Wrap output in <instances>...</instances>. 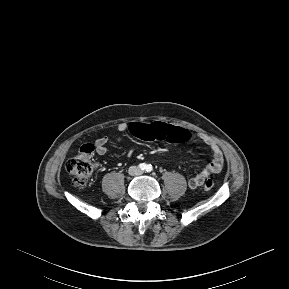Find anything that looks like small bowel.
<instances>
[{
  "mask_svg": "<svg viewBox=\"0 0 289 289\" xmlns=\"http://www.w3.org/2000/svg\"><path fill=\"white\" fill-rule=\"evenodd\" d=\"M130 125L125 122H122L118 124L117 130L119 132H125L126 130L130 128ZM201 139L209 147L212 153V160L201 172L192 176L188 180V184L190 188L192 189L200 187L201 185H203L205 180L210 175L219 173L223 169L224 159H223L222 151L219 148V146L212 139L206 136H201ZM117 141H120V138H118ZM107 142H108L107 137H101L95 141V149L99 155H104L107 153ZM132 153H133V150L129 149L127 152V155L131 156Z\"/></svg>",
  "mask_w": 289,
  "mask_h": 289,
  "instance_id": "c3829d8e",
  "label": "small bowel"
}]
</instances>
